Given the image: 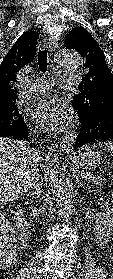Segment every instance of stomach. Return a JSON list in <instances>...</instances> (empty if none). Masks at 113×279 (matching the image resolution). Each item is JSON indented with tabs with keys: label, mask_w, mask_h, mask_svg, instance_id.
<instances>
[{
	"label": "stomach",
	"mask_w": 113,
	"mask_h": 279,
	"mask_svg": "<svg viewBox=\"0 0 113 279\" xmlns=\"http://www.w3.org/2000/svg\"><path fill=\"white\" fill-rule=\"evenodd\" d=\"M71 165L76 169L90 170L100 163V153L95 145H84L69 156Z\"/></svg>",
	"instance_id": "0dacf381"
}]
</instances>
